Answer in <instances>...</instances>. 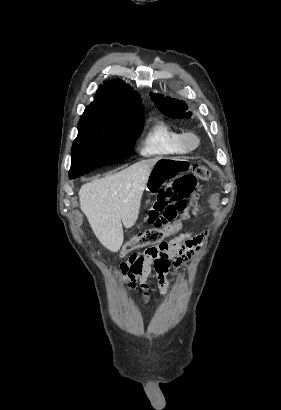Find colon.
<instances>
[{"mask_svg":"<svg viewBox=\"0 0 281 410\" xmlns=\"http://www.w3.org/2000/svg\"><path fill=\"white\" fill-rule=\"evenodd\" d=\"M209 169L203 165L194 167L192 173L176 179L164 188L153 202L148 220L152 225L128 240L122 251L127 255L131 251L159 244L172 233L188 216L189 204L194 201L200 182L210 179Z\"/></svg>","mask_w":281,"mask_h":410,"instance_id":"obj_1","label":"colon"}]
</instances>
